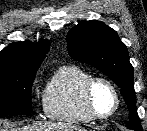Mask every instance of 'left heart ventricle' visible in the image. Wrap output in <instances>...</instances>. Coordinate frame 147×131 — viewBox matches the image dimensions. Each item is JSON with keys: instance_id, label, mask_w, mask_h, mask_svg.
Segmentation results:
<instances>
[{"instance_id": "left-heart-ventricle-1", "label": "left heart ventricle", "mask_w": 147, "mask_h": 131, "mask_svg": "<svg viewBox=\"0 0 147 131\" xmlns=\"http://www.w3.org/2000/svg\"><path fill=\"white\" fill-rule=\"evenodd\" d=\"M92 103L99 114L111 112L115 106V97L111 88L103 82H98L92 91Z\"/></svg>"}]
</instances>
